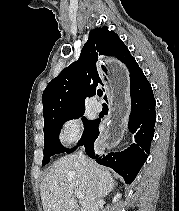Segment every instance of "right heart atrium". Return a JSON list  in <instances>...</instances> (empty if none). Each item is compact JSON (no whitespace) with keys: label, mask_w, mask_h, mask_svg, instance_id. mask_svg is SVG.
Returning <instances> with one entry per match:
<instances>
[{"label":"right heart atrium","mask_w":179,"mask_h":211,"mask_svg":"<svg viewBox=\"0 0 179 211\" xmlns=\"http://www.w3.org/2000/svg\"><path fill=\"white\" fill-rule=\"evenodd\" d=\"M82 135V122L77 116L67 118L59 132V139L65 146H69L76 142Z\"/></svg>","instance_id":"right-heart-atrium-1"}]
</instances>
